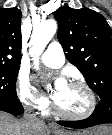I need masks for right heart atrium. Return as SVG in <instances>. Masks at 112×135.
<instances>
[{"label": "right heart atrium", "mask_w": 112, "mask_h": 135, "mask_svg": "<svg viewBox=\"0 0 112 135\" xmlns=\"http://www.w3.org/2000/svg\"><path fill=\"white\" fill-rule=\"evenodd\" d=\"M16 94L20 103L29 110L41 111L48 106L47 98L33 86L28 77L24 74L18 76Z\"/></svg>", "instance_id": "1"}]
</instances>
